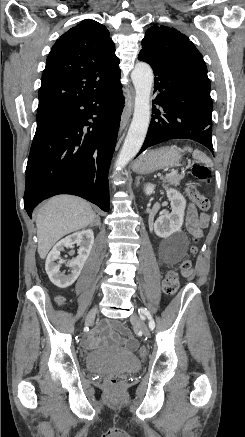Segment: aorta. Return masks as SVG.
<instances>
[{"instance_id":"obj_1","label":"aorta","mask_w":245,"mask_h":437,"mask_svg":"<svg viewBox=\"0 0 245 437\" xmlns=\"http://www.w3.org/2000/svg\"><path fill=\"white\" fill-rule=\"evenodd\" d=\"M135 88V104L133 120L128 130L123 147L115 163V168L121 170L140 150L150 123V94L153 84V71L144 62H138L132 73Z\"/></svg>"}]
</instances>
